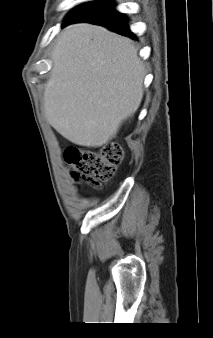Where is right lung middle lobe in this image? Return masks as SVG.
Here are the masks:
<instances>
[{
  "label": "right lung middle lobe",
  "instance_id": "right-lung-middle-lobe-1",
  "mask_svg": "<svg viewBox=\"0 0 213 338\" xmlns=\"http://www.w3.org/2000/svg\"><path fill=\"white\" fill-rule=\"evenodd\" d=\"M85 4H87V3H84V4H82V5L78 6V7H76L71 13H69L68 17H69L71 14H73L77 9H79L80 7H82V6L85 5Z\"/></svg>",
  "mask_w": 213,
  "mask_h": 338
}]
</instances>
